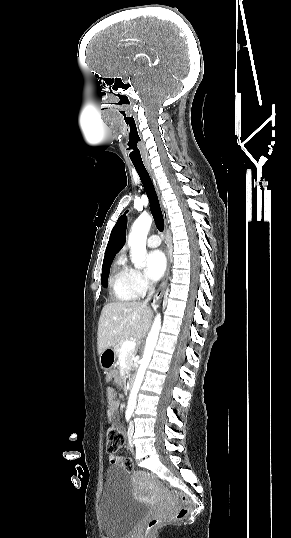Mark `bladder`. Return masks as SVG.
I'll use <instances>...</instances> for the list:
<instances>
[{"mask_svg":"<svg viewBox=\"0 0 291 538\" xmlns=\"http://www.w3.org/2000/svg\"><path fill=\"white\" fill-rule=\"evenodd\" d=\"M149 507L133 497L126 471L110 467L99 502V524L106 538H126Z\"/></svg>","mask_w":291,"mask_h":538,"instance_id":"1","label":"bladder"}]
</instances>
